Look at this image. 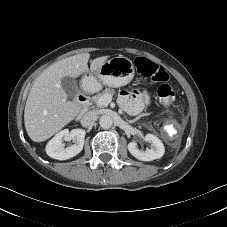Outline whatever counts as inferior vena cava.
Wrapping results in <instances>:
<instances>
[{
  "instance_id": "602c4592",
  "label": "inferior vena cava",
  "mask_w": 227,
  "mask_h": 227,
  "mask_svg": "<svg viewBox=\"0 0 227 227\" xmlns=\"http://www.w3.org/2000/svg\"><path fill=\"white\" fill-rule=\"evenodd\" d=\"M98 113L95 110L88 111L81 118V125L83 127H91L96 121Z\"/></svg>"
}]
</instances>
